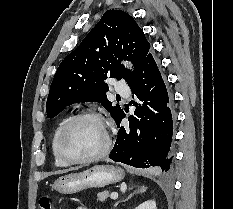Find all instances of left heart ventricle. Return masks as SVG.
Returning a JSON list of instances; mask_svg holds the SVG:
<instances>
[{"label":"left heart ventricle","mask_w":233,"mask_h":209,"mask_svg":"<svg viewBox=\"0 0 233 209\" xmlns=\"http://www.w3.org/2000/svg\"><path fill=\"white\" fill-rule=\"evenodd\" d=\"M105 139L106 134L101 122L92 118H84L70 127L64 142V149L70 157H88L101 150Z\"/></svg>","instance_id":"left-heart-ventricle-1"}]
</instances>
